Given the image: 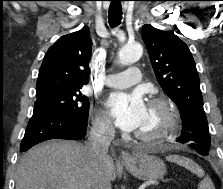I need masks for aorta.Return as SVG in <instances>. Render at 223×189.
<instances>
[{
	"label": "aorta",
	"instance_id": "1",
	"mask_svg": "<svg viewBox=\"0 0 223 189\" xmlns=\"http://www.w3.org/2000/svg\"><path fill=\"white\" fill-rule=\"evenodd\" d=\"M143 53V48L139 43H131L125 45L119 51V63L121 65H129L140 59Z\"/></svg>",
	"mask_w": 223,
	"mask_h": 189
}]
</instances>
